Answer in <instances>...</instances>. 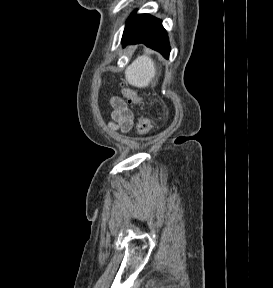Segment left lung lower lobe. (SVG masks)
<instances>
[{"label":"left lung lower lobe","instance_id":"0a47b994","mask_svg":"<svg viewBox=\"0 0 273 288\" xmlns=\"http://www.w3.org/2000/svg\"><path fill=\"white\" fill-rule=\"evenodd\" d=\"M138 43H144L147 47L160 52L165 58L169 57L168 36L161 20L148 14L136 15L134 12L127 21L122 44L125 46Z\"/></svg>","mask_w":273,"mask_h":288}]
</instances>
